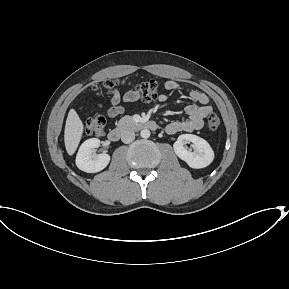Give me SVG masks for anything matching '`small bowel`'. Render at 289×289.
Instances as JSON below:
<instances>
[{
    "label": "small bowel",
    "instance_id": "1",
    "mask_svg": "<svg viewBox=\"0 0 289 289\" xmlns=\"http://www.w3.org/2000/svg\"><path fill=\"white\" fill-rule=\"evenodd\" d=\"M164 87L168 91H175L181 88V85L174 81L168 80L165 82ZM189 96L196 104H190L186 106L185 113L187 118L184 120H177L169 123L166 126V131L169 134H176L179 132H193L199 130L203 126L204 119L212 112V106L209 105L208 96L199 90H191ZM166 94L159 96L160 102L167 100ZM139 99L138 95L134 91H128L121 96L117 91L112 94L107 107V115L110 118H114L124 112V107L121 102L133 103Z\"/></svg>",
    "mask_w": 289,
    "mask_h": 289
}]
</instances>
